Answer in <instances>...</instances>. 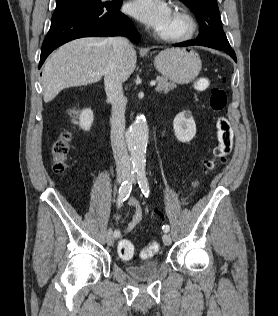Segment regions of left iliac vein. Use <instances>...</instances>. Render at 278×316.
<instances>
[{"label":"left iliac vein","mask_w":278,"mask_h":316,"mask_svg":"<svg viewBox=\"0 0 278 316\" xmlns=\"http://www.w3.org/2000/svg\"><path fill=\"white\" fill-rule=\"evenodd\" d=\"M134 181H135V179L132 177L131 178V182H134ZM162 240H163L164 244L167 245V246H169L171 244V242H172V239H171L170 235L167 234V233L163 234Z\"/></svg>","instance_id":"obj_1"}]
</instances>
